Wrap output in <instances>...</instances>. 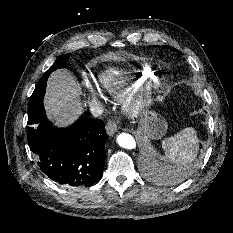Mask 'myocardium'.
Masks as SVG:
<instances>
[{
  "mask_svg": "<svg viewBox=\"0 0 233 233\" xmlns=\"http://www.w3.org/2000/svg\"><path fill=\"white\" fill-rule=\"evenodd\" d=\"M151 90L145 91L126 103V110L132 116H137L144 112L151 103Z\"/></svg>",
  "mask_w": 233,
  "mask_h": 233,
  "instance_id": "1",
  "label": "myocardium"
}]
</instances>
